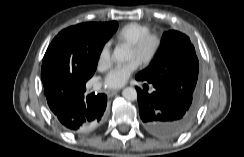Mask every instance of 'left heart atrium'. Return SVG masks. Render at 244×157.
I'll list each match as a JSON object with an SVG mask.
<instances>
[{
  "label": "left heart atrium",
  "mask_w": 244,
  "mask_h": 157,
  "mask_svg": "<svg viewBox=\"0 0 244 157\" xmlns=\"http://www.w3.org/2000/svg\"><path fill=\"white\" fill-rule=\"evenodd\" d=\"M139 61L131 59L125 64L112 68L104 79V86L108 89H119L123 87L130 76L138 69Z\"/></svg>",
  "instance_id": "left-heart-atrium-1"
}]
</instances>
